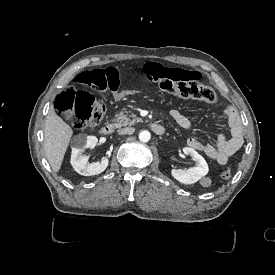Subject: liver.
Wrapping results in <instances>:
<instances>
[{"label":"liver","mask_w":275,"mask_h":275,"mask_svg":"<svg viewBox=\"0 0 275 275\" xmlns=\"http://www.w3.org/2000/svg\"><path fill=\"white\" fill-rule=\"evenodd\" d=\"M73 135V128L57 115L53 105L50 106L45 118L44 149L46 158L55 173L61 170Z\"/></svg>","instance_id":"liver-1"}]
</instances>
